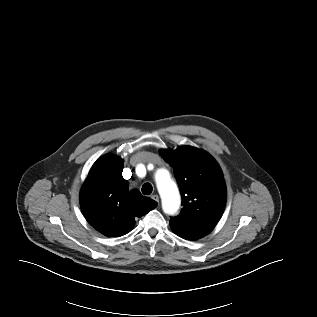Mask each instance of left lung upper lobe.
I'll use <instances>...</instances> for the list:
<instances>
[{"mask_svg": "<svg viewBox=\"0 0 317 317\" xmlns=\"http://www.w3.org/2000/svg\"><path fill=\"white\" fill-rule=\"evenodd\" d=\"M163 159L174 169L183 208L170 219L173 231L178 224L214 228L226 204V185L217 162L207 152L181 146L160 150Z\"/></svg>", "mask_w": 317, "mask_h": 317, "instance_id": "left-lung-upper-lobe-1", "label": "left lung upper lobe"}]
</instances>
